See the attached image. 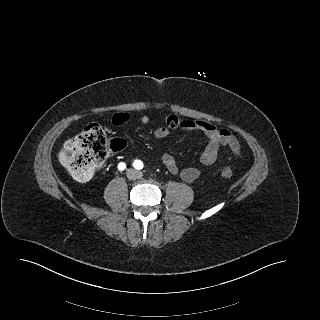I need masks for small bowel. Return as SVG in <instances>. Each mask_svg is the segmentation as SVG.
<instances>
[{
	"mask_svg": "<svg viewBox=\"0 0 320 320\" xmlns=\"http://www.w3.org/2000/svg\"><path fill=\"white\" fill-rule=\"evenodd\" d=\"M129 114L117 113L113 116L112 122L115 125H122L129 120ZM141 122L147 124L149 117L144 115ZM165 126L153 131L155 140H162L177 131L201 132L207 138V145L201 153L200 161L203 165H212L219 157L222 149H227L232 155L240 156L241 146L238 139L227 129H219L214 124L199 120L185 119L170 114L165 118ZM162 164L172 174H179L188 183L194 182L200 175L197 167L190 166L179 169L175 157L170 153H165L161 157Z\"/></svg>",
	"mask_w": 320,
	"mask_h": 320,
	"instance_id": "small-bowel-1",
	"label": "small bowel"
}]
</instances>
